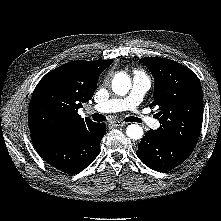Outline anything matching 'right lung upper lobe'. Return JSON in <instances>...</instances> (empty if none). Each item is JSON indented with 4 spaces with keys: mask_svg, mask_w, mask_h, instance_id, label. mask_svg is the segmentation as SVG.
Masks as SVG:
<instances>
[{
    "mask_svg": "<svg viewBox=\"0 0 221 221\" xmlns=\"http://www.w3.org/2000/svg\"><path fill=\"white\" fill-rule=\"evenodd\" d=\"M112 62L71 61L47 73L31 97V136H61L94 124L89 118H81L77 110L92 98L99 75Z\"/></svg>",
    "mask_w": 221,
    "mask_h": 221,
    "instance_id": "obj_1",
    "label": "right lung upper lobe"
}]
</instances>
